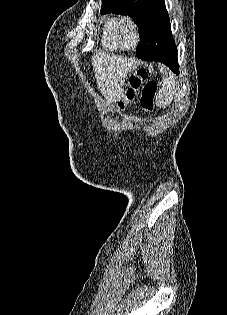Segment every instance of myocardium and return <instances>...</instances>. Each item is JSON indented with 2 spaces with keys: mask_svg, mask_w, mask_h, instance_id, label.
Masks as SVG:
<instances>
[{
  "mask_svg": "<svg viewBox=\"0 0 227 315\" xmlns=\"http://www.w3.org/2000/svg\"><path fill=\"white\" fill-rule=\"evenodd\" d=\"M125 26L130 27L132 32H133V35H134V42L130 46H126L122 40V32H123V29ZM115 34H116V39H117L118 45L123 50H133L140 43L139 26H138L136 20L130 16H124L118 20V22L116 23V26H115Z\"/></svg>",
  "mask_w": 227,
  "mask_h": 315,
  "instance_id": "myocardium-1",
  "label": "myocardium"
}]
</instances>
